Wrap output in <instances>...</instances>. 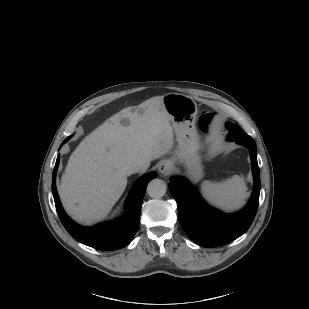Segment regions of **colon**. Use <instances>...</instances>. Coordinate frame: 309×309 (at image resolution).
<instances>
[{"label": "colon", "instance_id": "obj_1", "mask_svg": "<svg viewBox=\"0 0 309 309\" xmlns=\"http://www.w3.org/2000/svg\"><path fill=\"white\" fill-rule=\"evenodd\" d=\"M213 124V115L211 113H203L199 118V127L204 130L208 131Z\"/></svg>", "mask_w": 309, "mask_h": 309}]
</instances>
